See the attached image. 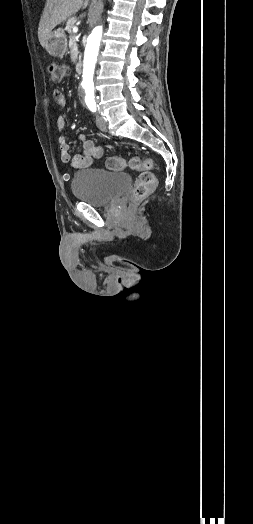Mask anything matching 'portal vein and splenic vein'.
<instances>
[{"label":"portal vein and splenic vein","instance_id":"portal-vein-and-splenic-vein-1","mask_svg":"<svg viewBox=\"0 0 253 524\" xmlns=\"http://www.w3.org/2000/svg\"><path fill=\"white\" fill-rule=\"evenodd\" d=\"M78 31V27H73V32H77Z\"/></svg>","mask_w":253,"mask_h":524}]
</instances>
